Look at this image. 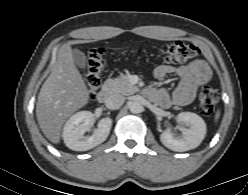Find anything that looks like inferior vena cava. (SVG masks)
<instances>
[{"label": "inferior vena cava", "mask_w": 248, "mask_h": 195, "mask_svg": "<svg viewBox=\"0 0 248 195\" xmlns=\"http://www.w3.org/2000/svg\"><path fill=\"white\" fill-rule=\"evenodd\" d=\"M125 101V97L121 94H113L107 98L105 104L108 109H119Z\"/></svg>", "instance_id": "inferior-vena-cava-1"}]
</instances>
